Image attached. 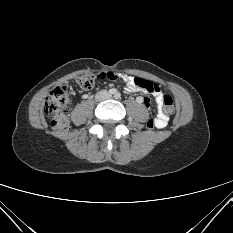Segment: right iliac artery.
Returning <instances> with one entry per match:
<instances>
[{"mask_svg":"<svg viewBox=\"0 0 233 233\" xmlns=\"http://www.w3.org/2000/svg\"><path fill=\"white\" fill-rule=\"evenodd\" d=\"M115 93H116V90H115V89L112 88V89L109 90V94L112 95V94H115Z\"/></svg>","mask_w":233,"mask_h":233,"instance_id":"1","label":"right iliac artery"}]
</instances>
